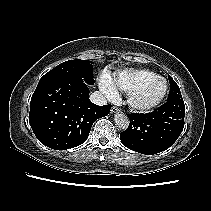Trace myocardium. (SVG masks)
<instances>
[{
	"label": "myocardium",
	"instance_id": "f54148a6",
	"mask_svg": "<svg viewBox=\"0 0 211 211\" xmlns=\"http://www.w3.org/2000/svg\"><path fill=\"white\" fill-rule=\"evenodd\" d=\"M156 80H161L164 83V90L160 94V96L148 103L138 102L137 98L140 95V93ZM167 92H168L167 80L164 77L158 75L156 77L144 81L143 83L135 87L132 91H130L127 94V103L133 110L139 112H147L159 106L160 103L164 100L165 96L167 95Z\"/></svg>",
	"mask_w": 211,
	"mask_h": 211
}]
</instances>
